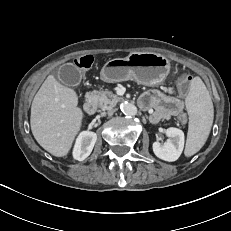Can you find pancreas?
Wrapping results in <instances>:
<instances>
[{"label": "pancreas", "instance_id": "pancreas-1", "mask_svg": "<svg viewBox=\"0 0 231 231\" xmlns=\"http://www.w3.org/2000/svg\"><path fill=\"white\" fill-rule=\"evenodd\" d=\"M90 94L97 105L103 110L113 108L120 100V98L109 89L94 90Z\"/></svg>", "mask_w": 231, "mask_h": 231}]
</instances>
